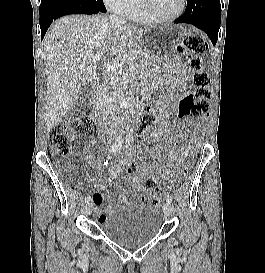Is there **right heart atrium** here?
Segmentation results:
<instances>
[{
  "instance_id": "1",
  "label": "right heart atrium",
  "mask_w": 265,
  "mask_h": 273,
  "mask_svg": "<svg viewBox=\"0 0 265 273\" xmlns=\"http://www.w3.org/2000/svg\"><path fill=\"white\" fill-rule=\"evenodd\" d=\"M136 0H103L105 6L118 13V14H126L132 6L134 5Z\"/></svg>"
}]
</instances>
